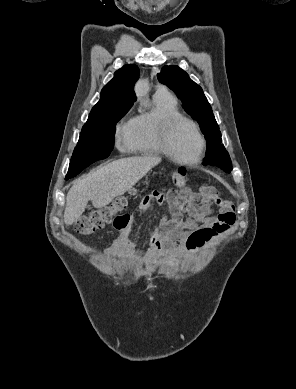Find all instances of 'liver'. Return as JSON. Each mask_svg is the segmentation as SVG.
<instances>
[{"label": "liver", "mask_w": 296, "mask_h": 389, "mask_svg": "<svg viewBox=\"0 0 296 389\" xmlns=\"http://www.w3.org/2000/svg\"><path fill=\"white\" fill-rule=\"evenodd\" d=\"M160 162L161 158L154 155L119 159L79 179L66 197L65 224L69 226L77 222L88 201H91L95 208L107 206L115 197L130 190Z\"/></svg>", "instance_id": "6515ba94"}]
</instances>
